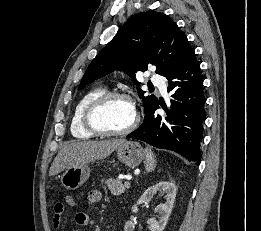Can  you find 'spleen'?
<instances>
[{"label":"spleen","mask_w":261,"mask_h":231,"mask_svg":"<svg viewBox=\"0 0 261 231\" xmlns=\"http://www.w3.org/2000/svg\"><path fill=\"white\" fill-rule=\"evenodd\" d=\"M145 156H146L145 169H146L147 172H151L156 167L155 155H154V153L152 152L151 149L146 148L145 149Z\"/></svg>","instance_id":"obj_1"}]
</instances>
